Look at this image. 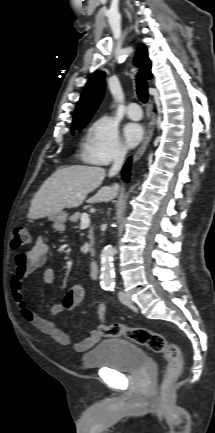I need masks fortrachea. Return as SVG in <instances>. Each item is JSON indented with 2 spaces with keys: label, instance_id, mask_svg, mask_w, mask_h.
<instances>
[{
  "label": "trachea",
  "instance_id": "obj_1",
  "mask_svg": "<svg viewBox=\"0 0 215 433\" xmlns=\"http://www.w3.org/2000/svg\"><path fill=\"white\" fill-rule=\"evenodd\" d=\"M136 88L140 101L146 103L148 100V84L142 73H139L136 77Z\"/></svg>",
  "mask_w": 215,
  "mask_h": 433
}]
</instances>
